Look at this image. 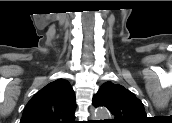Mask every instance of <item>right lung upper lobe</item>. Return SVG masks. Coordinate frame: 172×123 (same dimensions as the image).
I'll use <instances>...</instances> for the list:
<instances>
[{"mask_svg": "<svg viewBox=\"0 0 172 123\" xmlns=\"http://www.w3.org/2000/svg\"><path fill=\"white\" fill-rule=\"evenodd\" d=\"M75 109V94L70 83L58 79L30 99L20 123H73Z\"/></svg>", "mask_w": 172, "mask_h": 123, "instance_id": "1", "label": "right lung upper lobe"}]
</instances>
